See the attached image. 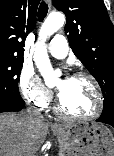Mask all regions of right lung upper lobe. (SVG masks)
Segmentation results:
<instances>
[{
    "label": "right lung upper lobe",
    "mask_w": 114,
    "mask_h": 156,
    "mask_svg": "<svg viewBox=\"0 0 114 156\" xmlns=\"http://www.w3.org/2000/svg\"><path fill=\"white\" fill-rule=\"evenodd\" d=\"M40 0H0V57H23Z\"/></svg>",
    "instance_id": "obj_1"
}]
</instances>
